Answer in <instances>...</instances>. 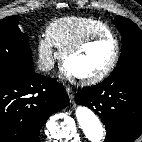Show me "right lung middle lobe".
I'll return each instance as SVG.
<instances>
[{
  "instance_id": "obj_1",
  "label": "right lung middle lobe",
  "mask_w": 142,
  "mask_h": 142,
  "mask_svg": "<svg viewBox=\"0 0 142 142\" xmlns=\"http://www.w3.org/2000/svg\"><path fill=\"white\" fill-rule=\"evenodd\" d=\"M19 16L0 20V74L34 70L28 36L18 28Z\"/></svg>"
}]
</instances>
